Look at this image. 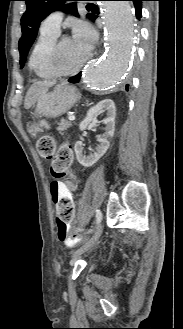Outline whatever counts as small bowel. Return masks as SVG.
I'll list each match as a JSON object with an SVG mask.
<instances>
[{
  "label": "small bowel",
  "instance_id": "small-bowel-1",
  "mask_svg": "<svg viewBox=\"0 0 183 329\" xmlns=\"http://www.w3.org/2000/svg\"><path fill=\"white\" fill-rule=\"evenodd\" d=\"M50 198L53 199L54 218H75L76 201H74L77 187L73 183L60 182L58 178H54L52 182H48ZM80 238L69 237L64 243L68 247L74 246Z\"/></svg>",
  "mask_w": 183,
  "mask_h": 329
}]
</instances>
